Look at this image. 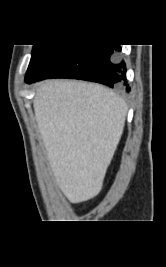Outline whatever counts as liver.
Segmentation results:
<instances>
[{
    "label": "liver",
    "instance_id": "liver-1",
    "mask_svg": "<svg viewBox=\"0 0 166 267\" xmlns=\"http://www.w3.org/2000/svg\"><path fill=\"white\" fill-rule=\"evenodd\" d=\"M33 107L63 194L71 203L97 196L123 133L124 100L98 84L51 80L39 84Z\"/></svg>",
    "mask_w": 166,
    "mask_h": 267
}]
</instances>
